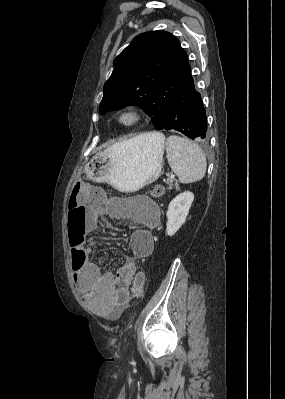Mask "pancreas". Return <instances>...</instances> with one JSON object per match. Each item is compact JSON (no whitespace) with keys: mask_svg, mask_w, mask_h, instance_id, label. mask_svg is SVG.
I'll use <instances>...</instances> for the list:
<instances>
[{"mask_svg":"<svg viewBox=\"0 0 285 399\" xmlns=\"http://www.w3.org/2000/svg\"><path fill=\"white\" fill-rule=\"evenodd\" d=\"M167 185H169V189H172L174 186L176 187V188H178V183L176 182L175 184H174V179L173 178H168L167 180H166V182H165Z\"/></svg>","mask_w":285,"mask_h":399,"instance_id":"obj_1","label":"pancreas"}]
</instances>
